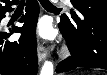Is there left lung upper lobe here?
Masks as SVG:
<instances>
[{
  "label": "left lung upper lobe",
  "mask_w": 107,
  "mask_h": 75,
  "mask_svg": "<svg viewBox=\"0 0 107 75\" xmlns=\"http://www.w3.org/2000/svg\"><path fill=\"white\" fill-rule=\"evenodd\" d=\"M74 3L76 11L71 10V15L67 16L63 14L60 17V25L65 27L70 33L74 34V38L78 39L79 36H83L80 30L81 25L83 24V19L92 20L100 17L107 18V1L106 0H71V3ZM77 36V37H76ZM78 39L77 44L83 43L81 47L75 51H78L82 54H89L91 52L90 44L85 40L84 37Z\"/></svg>",
  "instance_id": "left-lung-upper-lobe-1"
}]
</instances>
